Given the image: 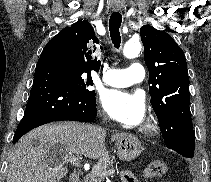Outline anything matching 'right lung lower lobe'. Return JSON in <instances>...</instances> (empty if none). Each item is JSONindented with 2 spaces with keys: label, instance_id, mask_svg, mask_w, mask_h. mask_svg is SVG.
<instances>
[{
  "label": "right lung lower lobe",
  "instance_id": "1",
  "mask_svg": "<svg viewBox=\"0 0 211 182\" xmlns=\"http://www.w3.org/2000/svg\"><path fill=\"white\" fill-rule=\"evenodd\" d=\"M96 98L82 93L66 63L50 47H45L36 65L26 111L13 143L25 133L53 121L93 122Z\"/></svg>",
  "mask_w": 211,
  "mask_h": 182
}]
</instances>
